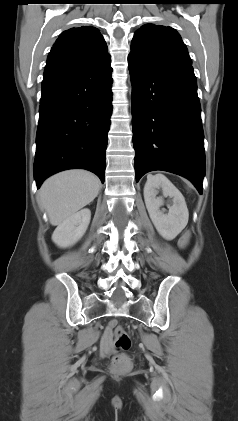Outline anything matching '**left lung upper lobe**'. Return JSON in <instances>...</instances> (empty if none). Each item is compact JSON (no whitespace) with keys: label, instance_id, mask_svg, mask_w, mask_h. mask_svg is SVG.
I'll list each match as a JSON object with an SVG mask.
<instances>
[{"label":"left lung upper lobe","instance_id":"1","mask_svg":"<svg viewBox=\"0 0 238 421\" xmlns=\"http://www.w3.org/2000/svg\"><path fill=\"white\" fill-rule=\"evenodd\" d=\"M129 55L153 66L176 62L192 63L177 31L162 25L145 24L138 29Z\"/></svg>","mask_w":238,"mask_h":421}]
</instances>
